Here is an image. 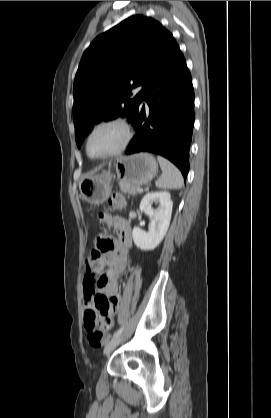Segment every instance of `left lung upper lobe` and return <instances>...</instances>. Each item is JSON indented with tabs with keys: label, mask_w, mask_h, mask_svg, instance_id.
Wrapping results in <instances>:
<instances>
[{
	"label": "left lung upper lobe",
	"mask_w": 271,
	"mask_h": 418,
	"mask_svg": "<svg viewBox=\"0 0 271 418\" xmlns=\"http://www.w3.org/2000/svg\"><path fill=\"white\" fill-rule=\"evenodd\" d=\"M158 21L131 16L99 35L84 52L73 87L75 139L80 148L94 125L132 118L145 86L173 40ZM143 85L138 94L132 89Z\"/></svg>",
	"instance_id": "obj_1"
}]
</instances>
